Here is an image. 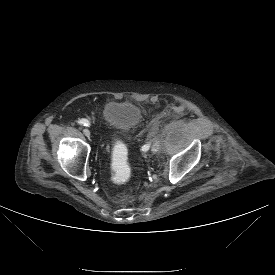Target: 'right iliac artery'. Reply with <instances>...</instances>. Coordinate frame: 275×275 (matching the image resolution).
<instances>
[{
  "mask_svg": "<svg viewBox=\"0 0 275 275\" xmlns=\"http://www.w3.org/2000/svg\"><path fill=\"white\" fill-rule=\"evenodd\" d=\"M78 124L84 125V126H89L90 122L87 119H80V120H78Z\"/></svg>",
  "mask_w": 275,
  "mask_h": 275,
  "instance_id": "obj_1",
  "label": "right iliac artery"
}]
</instances>
